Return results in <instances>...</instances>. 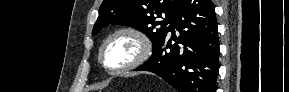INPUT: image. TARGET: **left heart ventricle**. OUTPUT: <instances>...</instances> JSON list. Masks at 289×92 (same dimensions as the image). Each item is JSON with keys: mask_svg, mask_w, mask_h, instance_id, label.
Returning <instances> with one entry per match:
<instances>
[{"mask_svg": "<svg viewBox=\"0 0 289 92\" xmlns=\"http://www.w3.org/2000/svg\"><path fill=\"white\" fill-rule=\"evenodd\" d=\"M137 49V44L131 37L120 35L107 45L104 62L112 69L122 67L134 59Z\"/></svg>", "mask_w": 289, "mask_h": 92, "instance_id": "b2bd125f", "label": "left heart ventricle"}]
</instances>
